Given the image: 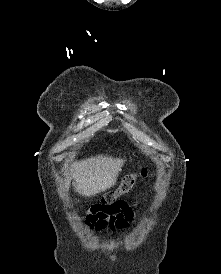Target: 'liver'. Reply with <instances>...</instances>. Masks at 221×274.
<instances>
[{
    "instance_id": "6515ba94",
    "label": "liver",
    "mask_w": 221,
    "mask_h": 274,
    "mask_svg": "<svg viewBox=\"0 0 221 274\" xmlns=\"http://www.w3.org/2000/svg\"><path fill=\"white\" fill-rule=\"evenodd\" d=\"M125 160L97 156L75 162L70 167L76 192L86 197L105 192L116 184ZM69 180L65 187L69 188Z\"/></svg>"
}]
</instances>
